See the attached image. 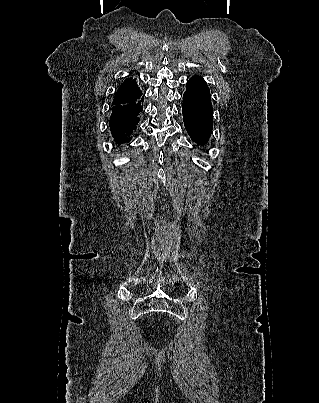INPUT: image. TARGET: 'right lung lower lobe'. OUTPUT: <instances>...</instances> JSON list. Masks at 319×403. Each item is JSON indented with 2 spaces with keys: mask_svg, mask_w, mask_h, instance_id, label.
Returning <instances> with one entry per match:
<instances>
[{
  "mask_svg": "<svg viewBox=\"0 0 319 403\" xmlns=\"http://www.w3.org/2000/svg\"><path fill=\"white\" fill-rule=\"evenodd\" d=\"M142 92L126 101L113 104L109 121L110 130L115 142L118 144L127 143L136 129L140 120L139 114L143 109Z\"/></svg>",
  "mask_w": 319,
  "mask_h": 403,
  "instance_id": "right-lung-lower-lobe-1",
  "label": "right lung lower lobe"
}]
</instances>
